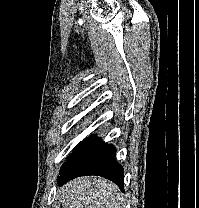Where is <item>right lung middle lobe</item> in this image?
I'll use <instances>...</instances> for the list:
<instances>
[{
	"label": "right lung middle lobe",
	"mask_w": 199,
	"mask_h": 208,
	"mask_svg": "<svg viewBox=\"0 0 199 208\" xmlns=\"http://www.w3.org/2000/svg\"><path fill=\"white\" fill-rule=\"evenodd\" d=\"M81 143H82V142H80V143L74 148L73 153L68 157L67 161L62 165L60 172H62V171L66 168V166L73 160V158L75 157L76 152H77L79 146L81 145Z\"/></svg>",
	"instance_id": "obj_1"
}]
</instances>
